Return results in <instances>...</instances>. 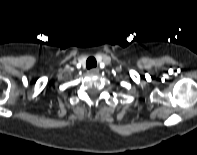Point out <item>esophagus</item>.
<instances>
[{
    "instance_id": "34e87169",
    "label": "esophagus",
    "mask_w": 197,
    "mask_h": 155,
    "mask_svg": "<svg viewBox=\"0 0 197 155\" xmlns=\"http://www.w3.org/2000/svg\"><path fill=\"white\" fill-rule=\"evenodd\" d=\"M98 72H99V70L97 68H92L90 70V73H92V74H98Z\"/></svg>"
}]
</instances>
